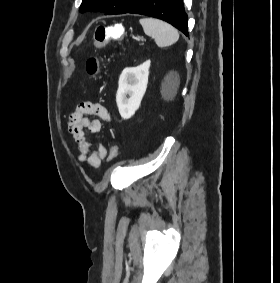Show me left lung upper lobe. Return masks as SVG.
Instances as JSON below:
<instances>
[{
    "instance_id": "obj_1",
    "label": "left lung upper lobe",
    "mask_w": 280,
    "mask_h": 283,
    "mask_svg": "<svg viewBox=\"0 0 280 283\" xmlns=\"http://www.w3.org/2000/svg\"><path fill=\"white\" fill-rule=\"evenodd\" d=\"M142 0H83L80 12L101 11L106 15L127 13Z\"/></svg>"
}]
</instances>
